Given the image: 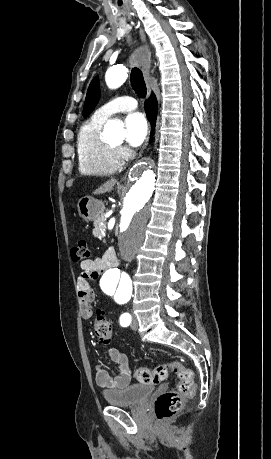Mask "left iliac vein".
<instances>
[{
    "mask_svg": "<svg viewBox=\"0 0 271 459\" xmlns=\"http://www.w3.org/2000/svg\"><path fill=\"white\" fill-rule=\"evenodd\" d=\"M131 328H132L133 330H137V329H138V322H137V317H136L135 314H132Z\"/></svg>",
    "mask_w": 271,
    "mask_h": 459,
    "instance_id": "4c4485c4",
    "label": "left iliac vein"
}]
</instances>
